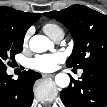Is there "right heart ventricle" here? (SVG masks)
<instances>
[{"mask_svg": "<svg viewBox=\"0 0 107 107\" xmlns=\"http://www.w3.org/2000/svg\"><path fill=\"white\" fill-rule=\"evenodd\" d=\"M43 31L52 39H56L58 36H64V30L56 23H46L43 26Z\"/></svg>", "mask_w": 107, "mask_h": 107, "instance_id": "1", "label": "right heart ventricle"}]
</instances>
